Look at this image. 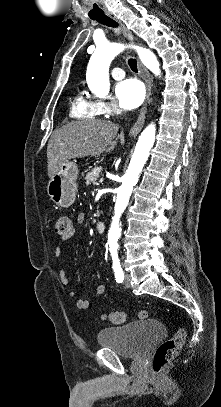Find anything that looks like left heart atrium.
Returning <instances> with one entry per match:
<instances>
[{
	"label": "left heart atrium",
	"mask_w": 221,
	"mask_h": 407,
	"mask_svg": "<svg viewBox=\"0 0 221 407\" xmlns=\"http://www.w3.org/2000/svg\"><path fill=\"white\" fill-rule=\"evenodd\" d=\"M115 94L125 109H135L144 100L145 87L140 80L127 78L116 85Z\"/></svg>",
	"instance_id": "39dd6f15"
}]
</instances>
